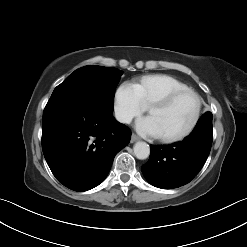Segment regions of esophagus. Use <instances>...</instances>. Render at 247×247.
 Instances as JSON below:
<instances>
[{
    "label": "esophagus",
    "mask_w": 247,
    "mask_h": 247,
    "mask_svg": "<svg viewBox=\"0 0 247 247\" xmlns=\"http://www.w3.org/2000/svg\"><path fill=\"white\" fill-rule=\"evenodd\" d=\"M137 140H139V137L136 135V134H132V137H131V143H134L136 142Z\"/></svg>",
    "instance_id": "esophagus-1"
}]
</instances>
